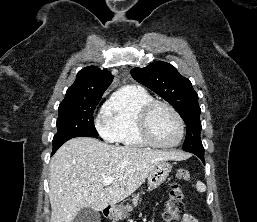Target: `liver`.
I'll list each match as a JSON object with an SVG mask.
<instances>
[{
	"label": "liver",
	"instance_id": "6515ba94",
	"mask_svg": "<svg viewBox=\"0 0 257 222\" xmlns=\"http://www.w3.org/2000/svg\"><path fill=\"white\" fill-rule=\"evenodd\" d=\"M184 153L152 151L73 138L54 154L50 164V222H73L83 208L102 211L135 192L154 166L182 160ZM113 177L109 185L102 184Z\"/></svg>",
	"mask_w": 257,
	"mask_h": 222
}]
</instances>
